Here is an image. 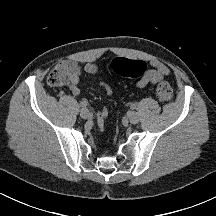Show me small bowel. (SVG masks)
<instances>
[{
  "label": "small bowel",
  "mask_w": 216,
  "mask_h": 216,
  "mask_svg": "<svg viewBox=\"0 0 216 216\" xmlns=\"http://www.w3.org/2000/svg\"><path fill=\"white\" fill-rule=\"evenodd\" d=\"M62 64H64L68 70V89L74 96H78L80 94V88L78 84L83 71L88 74H96L99 71V65L95 62H88L83 67L72 60L64 61ZM149 66L151 69L146 70L137 81V86L139 88L155 85L170 73L168 66L158 59H151L149 61ZM101 86L108 96L113 94L112 88L109 84L101 82Z\"/></svg>",
  "instance_id": "1"
}]
</instances>
